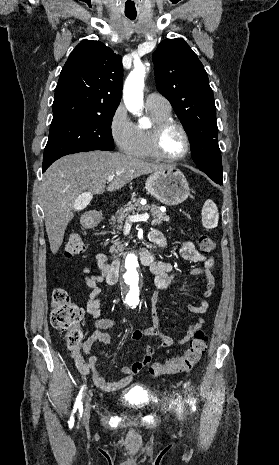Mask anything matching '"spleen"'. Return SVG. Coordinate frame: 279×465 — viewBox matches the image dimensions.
<instances>
[{
    "label": "spleen",
    "mask_w": 279,
    "mask_h": 465,
    "mask_svg": "<svg viewBox=\"0 0 279 465\" xmlns=\"http://www.w3.org/2000/svg\"><path fill=\"white\" fill-rule=\"evenodd\" d=\"M202 224L207 229H212L218 225V209L212 200H207L202 208Z\"/></svg>",
    "instance_id": "3e777b00"
}]
</instances>
